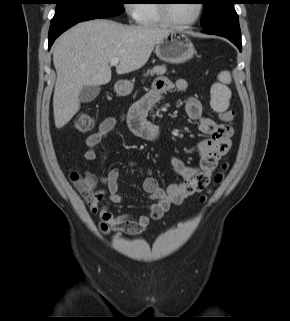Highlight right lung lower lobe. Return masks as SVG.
<instances>
[{
    "label": "right lung lower lobe",
    "instance_id": "right-lung-lower-lobe-1",
    "mask_svg": "<svg viewBox=\"0 0 290 321\" xmlns=\"http://www.w3.org/2000/svg\"><path fill=\"white\" fill-rule=\"evenodd\" d=\"M81 21H76V22H69L65 24H56V25H51L50 30H49V49L55 39L64 31L69 29L70 27L74 26L75 24L79 23Z\"/></svg>",
    "mask_w": 290,
    "mask_h": 321
}]
</instances>
